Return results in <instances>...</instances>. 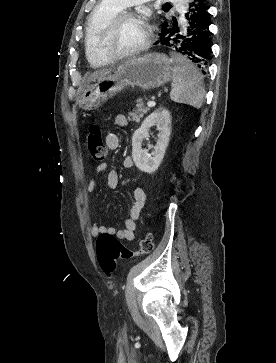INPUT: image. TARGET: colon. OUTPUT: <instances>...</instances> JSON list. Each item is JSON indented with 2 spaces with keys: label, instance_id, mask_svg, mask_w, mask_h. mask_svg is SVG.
Instances as JSON below:
<instances>
[{
  "label": "colon",
  "instance_id": "1",
  "mask_svg": "<svg viewBox=\"0 0 276 363\" xmlns=\"http://www.w3.org/2000/svg\"><path fill=\"white\" fill-rule=\"evenodd\" d=\"M87 146L94 161L102 162L106 159L107 149L103 140L102 128L99 124L90 125ZM153 248V236L148 230L145 231L136 250L126 247L116 237L108 233L100 234L96 240L97 259L102 271L107 275H111L115 271L117 260L146 255L151 253Z\"/></svg>",
  "mask_w": 276,
  "mask_h": 363
}]
</instances>
